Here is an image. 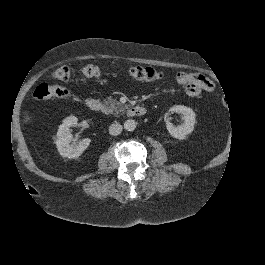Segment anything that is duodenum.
Instances as JSON below:
<instances>
[{"mask_svg":"<svg viewBox=\"0 0 265 265\" xmlns=\"http://www.w3.org/2000/svg\"><path fill=\"white\" fill-rule=\"evenodd\" d=\"M86 105L91 111H94V112H99L102 110V103L95 98L87 99ZM145 113H146V109L143 106H134L130 108L127 112L128 116L130 117L143 116Z\"/></svg>","mask_w":265,"mask_h":265,"instance_id":"1","label":"duodenum"}]
</instances>
